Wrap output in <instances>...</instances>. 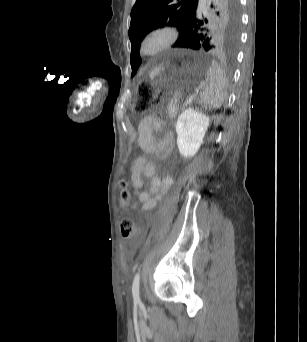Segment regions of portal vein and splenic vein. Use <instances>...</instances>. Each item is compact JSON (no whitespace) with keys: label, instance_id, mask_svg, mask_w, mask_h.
Segmentation results:
<instances>
[{"label":"portal vein and splenic vein","instance_id":"18ae733b","mask_svg":"<svg viewBox=\"0 0 307 342\" xmlns=\"http://www.w3.org/2000/svg\"><path fill=\"white\" fill-rule=\"evenodd\" d=\"M200 92H201L200 88L194 89L193 92L191 93L192 95L189 96L191 98L190 100L193 102L195 100L194 97L198 96ZM184 104L188 106L190 103L187 101Z\"/></svg>","mask_w":307,"mask_h":342}]
</instances>
